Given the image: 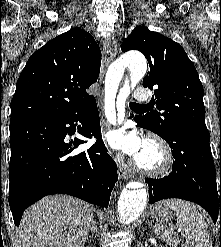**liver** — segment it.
Listing matches in <instances>:
<instances>
[{"label":"liver","instance_id":"liver-1","mask_svg":"<svg viewBox=\"0 0 221 247\" xmlns=\"http://www.w3.org/2000/svg\"><path fill=\"white\" fill-rule=\"evenodd\" d=\"M90 204L66 195L47 196L22 216V247H83L93 221Z\"/></svg>","mask_w":221,"mask_h":247}]
</instances>
